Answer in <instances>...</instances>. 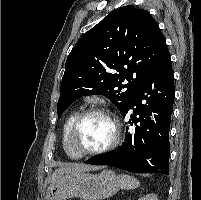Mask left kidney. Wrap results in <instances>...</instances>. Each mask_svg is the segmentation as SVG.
Returning <instances> with one entry per match:
<instances>
[{
  "label": "left kidney",
  "instance_id": "left-kidney-1",
  "mask_svg": "<svg viewBox=\"0 0 201 200\" xmlns=\"http://www.w3.org/2000/svg\"><path fill=\"white\" fill-rule=\"evenodd\" d=\"M138 200H158V197L156 194L151 193V194H148V195H146V196H144Z\"/></svg>",
  "mask_w": 201,
  "mask_h": 200
}]
</instances>
